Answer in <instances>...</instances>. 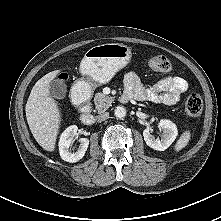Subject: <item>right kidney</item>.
Listing matches in <instances>:
<instances>
[{"mask_svg": "<svg viewBox=\"0 0 221 221\" xmlns=\"http://www.w3.org/2000/svg\"><path fill=\"white\" fill-rule=\"evenodd\" d=\"M78 127L76 125L69 126L64 130L59 140V153L61 158L70 163L78 162L82 159L87 151L89 140L87 138H81L79 148L76 152H72L70 149L71 144L74 141V137L77 135Z\"/></svg>", "mask_w": 221, "mask_h": 221, "instance_id": "obj_1", "label": "right kidney"}]
</instances>
